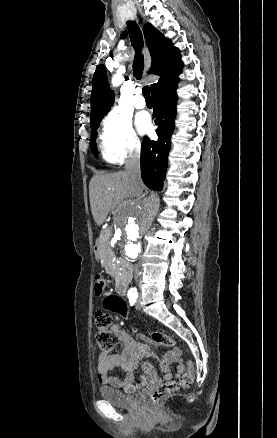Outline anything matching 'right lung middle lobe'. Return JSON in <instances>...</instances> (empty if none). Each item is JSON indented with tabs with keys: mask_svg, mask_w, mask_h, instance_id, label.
Wrapping results in <instances>:
<instances>
[{
	"mask_svg": "<svg viewBox=\"0 0 277 438\" xmlns=\"http://www.w3.org/2000/svg\"><path fill=\"white\" fill-rule=\"evenodd\" d=\"M99 122L100 121H93L90 122L91 125V137H90V145H91V150L94 153V155L96 156L97 154V148H96V143H95V139L97 136V128L99 127Z\"/></svg>",
	"mask_w": 277,
	"mask_h": 438,
	"instance_id": "dd1d6c3e",
	"label": "right lung middle lobe"
}]
</instances>
